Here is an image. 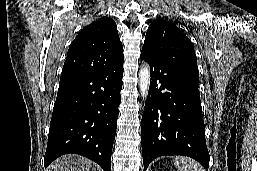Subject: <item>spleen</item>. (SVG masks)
I'll use <instances>...</instances> for the list:
<instances>
[{
    "mask_svg": "<svg viewBox=\"0 0 257 171\" xmlns=\"http://www.w3.org/2000/svg\"><path fill=\"white\" fill-rule=\"evenodd\" d=\"M174 164L178 171H205L198 162L184 156L174 158Z\"/></svg>",
    "mask_w": 257,
    "mask_h": 171,
    "instance_id": "spleen-1",
    "label": "spleen"
}]
</instances>
